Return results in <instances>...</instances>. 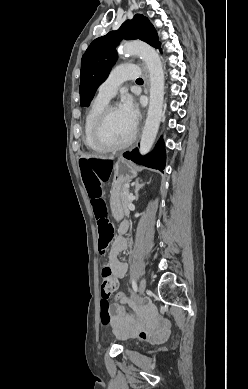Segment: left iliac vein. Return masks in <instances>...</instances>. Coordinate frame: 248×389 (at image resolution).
I'll use <instances>...</instances> for the list:
<instances>
[{
    "instance_id": "1",
    "label": "left iliac vein",
    "mask_w": 248,
    "mask_h": 389,
    "mask_svg": "<svg viewBox=\"0 0 248 389\" xmlns=\"http://www.w3.org/2000/svg\"><path fill=\"white\" fill-rule=\"evenodd\" d=\"M147 282L145 278H142L140 283H139V293L140 296L144 295L145 290H146Z\"/></svg>"
}]
</instances>
